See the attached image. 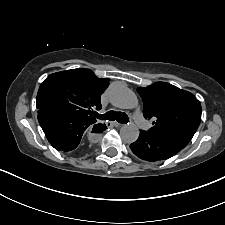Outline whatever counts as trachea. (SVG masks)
<instances>
[{
    "label": "trachea",
    "mask_w": 225,
    "mask_h": 225,
    "mask_svg": "<svg viewBox=\"0 0 225 225\" xmlns=\"http://www.w3.org/2000/svg\"><path fill=\"white\" fill-rule=\"evenodd\" d=\"M94 116L97 118V119H100V120H110V121H113L115 119H117V121L119 123H128L129 122V117L126 115V113L124 112H115L113 110L105 113V114H99L97 112H94Z\"/></svg>",
    "instance_id": "trachea-1"
}]
</instances>
